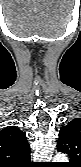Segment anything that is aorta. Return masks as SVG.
<instances>
[{
  "label": "aorta",
  "instance_id": "obj_1",
  "mask_svg": "<svg viewBox=\"0 0 81 167\" xmlns=\"http://www.w3.org/2000/svg\"><path fill=\"white\" fill-rule=\"evenodd\" d=\"M67 157L64 154H57L54 157V162H67Z\"/></svg>",
  "mask_w": 81,
  "mask_h": 167
}]
</instances>
